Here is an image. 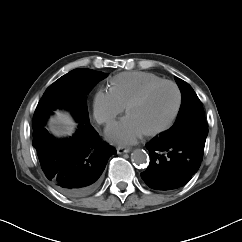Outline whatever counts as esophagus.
<instances>
[{
    "mask_svg": "<svg viewBox=\"0 0 242 242\" xmlns=\"http://www.w3.org/2000/svg\"><path fill=\"white\" fill-rule=\"evenodd\" d=\"M116 150H117L118 154L128 153V152L131 151L130 148H127V147H124V146H119V147H117Z\"/></svg>",
    "mask_w": 242,
    "mask_h": 242,
    "instance_id": "34e87169",
    "label": "esophagus"
}]
</instances>
